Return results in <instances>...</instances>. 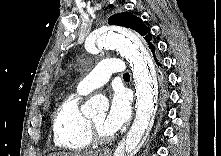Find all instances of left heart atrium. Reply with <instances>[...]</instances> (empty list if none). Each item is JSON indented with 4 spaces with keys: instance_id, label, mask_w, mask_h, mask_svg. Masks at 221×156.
<instances>
[{
    "instance_id": "1",
    "label": "left heart atrium",
    "mask_w": 221,
    "mask_h": 156,
    "mask_svg": "<svg viewBox=\"0 0 221 156\" xmlns=\"http://www.w3.org/2000/svg\"><path fill=\"white\" fill-rule=\"evenodd\" d=\"M131 106L127 93L116 89L110 98V107L103 127L109 133L117 132L130 118Z\"/></svg>"
}]
</instances>
